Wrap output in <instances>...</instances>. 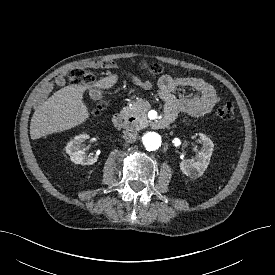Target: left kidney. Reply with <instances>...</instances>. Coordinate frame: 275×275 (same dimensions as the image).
<instances>
[{
	"instance_id": "1",
	"label": "left kidney",
	"mask_w": 275,
	"mask_h": 275,
	"mask_svg": "<svg viewBox=\"0 0 275 275\" xmlns=\"http://www.w3.org/2000/svg\"><path fill=\"white\" fill-rule=\"evenodd\" d=\"M202 141V148L198 154L188 161H182L179 165L180 170L188 177L196 179L203 175L207 169L210 157L213 152L214 144L205 134L199 133Z\"/></svg>"
}]
</instances>
